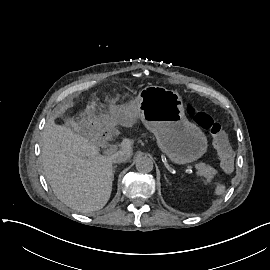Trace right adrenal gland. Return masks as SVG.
I'll list each match as a JSON object with an SVG mask.
<instances>
[{
	"instance_id": "obj_1",
	"label": "right adrenal gland",
	"mask_w": 270,
	"mask_h": 270,
	"mask_svg": "<svg viewBox=\"0 0 270 270\" xmlns=\"http://www.w3.org/2000/svg\"><path fill=\"white\" fill-rule=\"evenodd\" d=\"M117 168V165L113 166V170H112V173H113V177H114V173H115V169Z\"/></svg>"
}]
</instances>
